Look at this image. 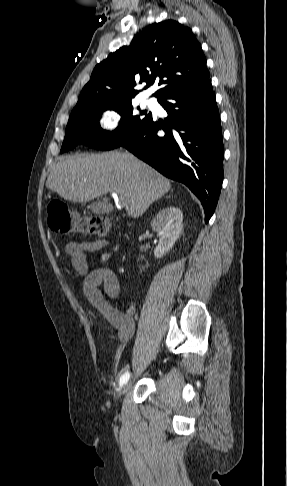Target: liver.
<instances>
[{"label":"liver","mask_w":287,"mask_h":486,"mask_svg":"<svg viewBox=\"0 0 287 486\" xmlns=\"http://www.w3.org/2000/svg\"><path fill=\"white\" fill-rule=\"evenodd\" d=\"M46 186L65 200L86 202L109 192L127 199V215L137 218L170 189V181L127 152L60 158Z\"/></svg>","instance_id":"liver-1"}]
</instances>
